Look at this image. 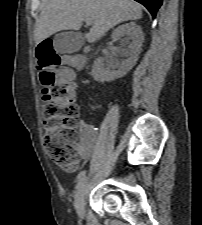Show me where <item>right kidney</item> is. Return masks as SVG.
I'll use <instances>...</instances> for the list:
<instances>
[{
	"label": "right kidney",
	"mask_w": 202,
	"mask_h": 225,
	"mask_svg": "<svg viewBox=\"0 0 202 225\" xmlns=\"http://www.w3.org/2000/svg\"><path fill=\"white\" fill-rule=\"evenodd\" d=\"M114 41L122 39L123 46L127 48L121 50V55L126 57L121 64L116 63L118 70L110 71L104 68L103 59L94 61L92 75L98 82H109L125 76L136 64L144 41L142 29L134 22L126 23L117 27L112 33Z\"/></svg>",
	"instance_id": "right-kidney-1"
}]
</instances>
